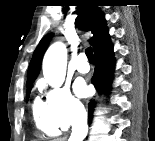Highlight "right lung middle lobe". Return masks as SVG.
Returning a JSON list of instances; mask_svg holds the SVG:
<instances>
[{
    "label": "right lung middle lobe",
    "instance_id": "1",
    "mask_svg": "<svg viewBox=\"0 0 155 141\" xmlns=\"http://www.w3.org/2000/svg\"><path fill=\"white\" fill-rule=\"evenodd\" d=\"M30 90H31V85H27V90H26V96H27V98L29 97Z\"/></svg>",
    "mask_w": 155,
    "mask_h": 141
}]
</instances>
